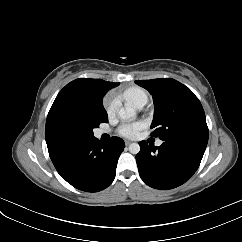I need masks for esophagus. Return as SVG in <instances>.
I'll list each match as a JSON object with an SVG mask.
<instances>
[{"instance_id":"obj_1","label":"esophagus","mask_w":242,"mask_h":242,"mask_svg":"<svg viewBox=\"0 0 242 242\" xmlns=\"http://www.w3.org/2000/svg\"><path fill=\"white\" fill-rule=\"evenodd\" d=\"M131 144V141H129V140H125V145L126 146H128V145H130Z\"/></svg>"}]
</instances>
